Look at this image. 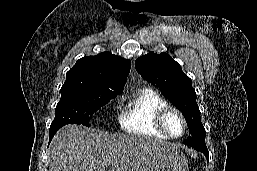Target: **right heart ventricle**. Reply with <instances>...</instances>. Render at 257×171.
<instances>
[{"instance_id": "right-heart-ventricle-1", "label": "right heart ventricle", "mask_w": 257, "mask_h": 171, "mask_svg": "<svg viewBox=\"0 0 257 171\" xmlns=\"http://www.w3.org/2000/svg\"><path fill=\"white\" fill-rule=\"evenodd\" d=\"M167 105V101L154 89L139 90L124 106L120 117L121 129L130 134L169 139L156 127V116Z\"/></svg>"}]
</instances>
